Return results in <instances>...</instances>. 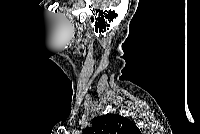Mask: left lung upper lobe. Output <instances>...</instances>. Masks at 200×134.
I'll list each match as a JSON object with an SVG mask.
<instances>
[{"instance_id":"obj_1","label":"left lung upper lobe","mask_w":200,"mask_h":134,"mask_svg":"<svg viewBox=\"0 0 200 134\" xmlns=\"http://www.w3.org/2000/svg\"><path fill=\"white\" fill-rule=\"evenodd\" d=\"M83 134H141L137 126L118 114H107L93 119L92 127Z\"/></svg>"}]
</instances>
